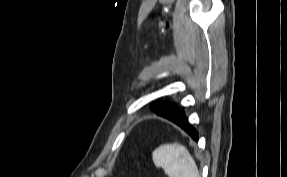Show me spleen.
<instances>
[{"mask_svg":"<svg viewBox=\"0 0 287 177\" xmlns=\"http://www.w3.org/2000/svg\"><path fill=\"white\" fill-rule=\"evenodd\" d=\"M156 167L169 177H200L198 167L189 151L178 143L163 144L152 153Z\"/></svg>","mask_w":287,"mask_h":177,"instance_id":"3e777b00","label":"spleen"}]
</instances>
